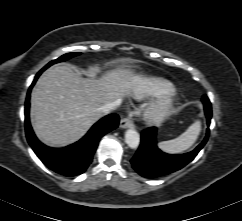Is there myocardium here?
<instances>
[{"mask_svg":"<svg viewBox=\"0 0 242 221\" xmlns=\"http://www.w3.org/2000/svg\"><path fill=\"white\" fill-rule=\"evenodd\" d=\"M173 107L174 99L171 93L166 94L145 109L143 119L149 125L160 124L171 113Z\"/></svg>","mask_w":242,"mask_h":221,"instance_id":"myocardium-1","label":"myocardium"}]
</instances>
